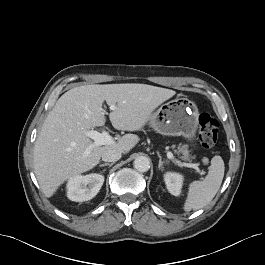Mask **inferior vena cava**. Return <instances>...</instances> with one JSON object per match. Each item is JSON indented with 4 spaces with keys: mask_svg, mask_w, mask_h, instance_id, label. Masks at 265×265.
<instances>
[{
    "mask_svg": "<svg viewBox=\"0 0 265 265\" xmlns=\"http://www.w3.org/2000/svg\"><path fill=\"white\" fill-rule=\"evenodd\" d=\"M121 158V152L109 149L103 152L102 160L105 162H116Z\"/></svg>",
    "mask_w": 265,
    "mask_h": 265,
    "instance_id": "1",
    "label": "inferior vena cava"
}]
</instances>
